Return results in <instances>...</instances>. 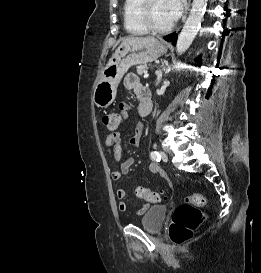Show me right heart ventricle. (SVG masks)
<instances>
[{"label": "right heart ventricle", "mask_w": 261, "mask_h": 273, "mask_svg": "<svg viewBox=\"0 0 261 273\" xmlns=\"http://www.w3.org/2000/svg\"><path fill=\"white\" fill-rule=\"evenodd\" d=\"M141 0H125L123 5V23L125 30L132 35H143L148 29L139 20Z\"/></svg>", "instance_id": "e07e8e85"}]
</instances>
